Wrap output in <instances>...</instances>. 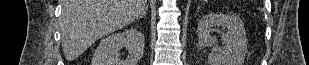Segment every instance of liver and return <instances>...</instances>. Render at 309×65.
Wrapping results in <instances>:
<instances>
[{
    "instance_id": "1",
    "label": "liver",
    "mask_w": 309,
    "mask_h": 65,
    "mask_svg": "<svg viewBox=\"0 0 309 65\" xmlns=\"http://www.w3.org/2000/svg\"><path fill=\"white\" fill-rule=\"evenodd\" d=\"M147 0H62L60 31L65 58L79 57L97 39L138 19Z\"/></svg>"
}]
</instances>
